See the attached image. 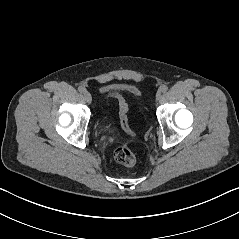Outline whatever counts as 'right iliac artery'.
<instances>
[{"label":"right iliac artery","instance_id":"obj_1","mask_svg":"<svg viewBox=\"0 0 239 239\" xmlns=\"http://www.w3.org/2000/svg\"><path fill=\"white\" fill-rule=\"evenodd\" d=\"M78 90H79V92H81V93H84V92L86 91V89H85L84 87H82V86H80V87L78 88Z\"/></svg>","mask_w":239,"mask_h":239}]
</instances>
